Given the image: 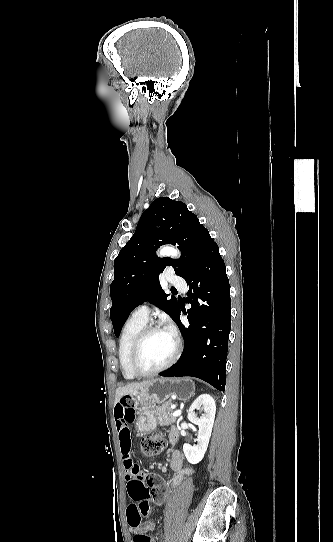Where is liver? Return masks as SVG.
Returning <instances> with one entry per match:
<instances>
[{"label": "liver", "mask_w": 333, "mask_h": 542, "mask_svg": "<svg viewBox=\"0 0 333 542\" xmlns=\"http://www.w3.org/2000/svg\"><path fill=\"white\" fill-rule=\"evenodd\" d=\"M149 384L150 380H147V382H133V384H127V386H123V388H117L115 404H118L123 396H128V394H136V392L143 390V388H146V386H149Z\"/></svg>", "instance_id": "liver-1"}]
</instances>
